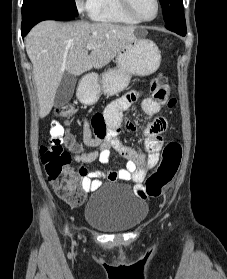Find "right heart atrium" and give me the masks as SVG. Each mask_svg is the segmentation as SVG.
<instances>
[{
    "mask_svg": "<svg viewBox=\"0 0 227 279\" xmlns=\"http://www.w3.org/2000/svg\"><path fill=\"white\" fill-rule=\"evenodd\" d=\"M80 10L90 11L94 0H75Z\"/></svg>",
    "mask_w": 227,
    "mask_h": 279,
    "instance_id": "d8ad5b80",
    "label": "right heart atrium"
}]
</instances>
